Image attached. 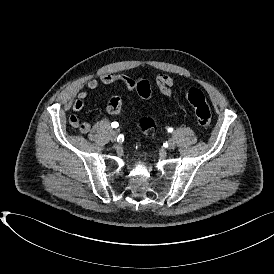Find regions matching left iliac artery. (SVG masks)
Here are the masks:
<instances>
[{
    "label": "left iliac artery",
    "instance_id": "obj_1",
    "mask_svg": "<svg viewBox=\"0 0 274 274\" xmlns=\"http://www.w3.org/2000/svg\"><path fill=\"white\" fill-rule=\"evenodd\" d=\"M168 132H170V133L173 132V128L169 127Z\"/></svg>",
    "mask_w": 274,
    "mask_h": 274
}]
</instances>
